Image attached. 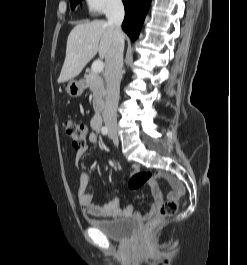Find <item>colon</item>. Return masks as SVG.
<instances>
[{
    "mask_svg": "<svg viewBox=\"0 0 247 265\" xmlns=\"http://www.w3.org/2000/svg\"><path fill=\"white\" fill-rule=\"evenodd\" d=\"M65 132L76 149L85 147L89 132L84 124L68 120L65 122ZM159 179H167L170 182L173 181L172 178L161 172L152 173L149 171H139L132 175L128 182V187L133 191L138 190L145 185L153 188L158 185ZM178 205L179 200L177 198L164 201L160 206L158 214L146 223L144 231L150 232L158 228L165 218L171 217L177 212Z\"/></svg>",
    "mask_w": 247,
    "mask_h": 265,
    "instance_id": "1",
    "label": "colon"
}]
</instances>
